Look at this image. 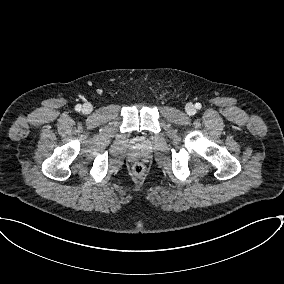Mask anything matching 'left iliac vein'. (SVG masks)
<instances>
[{
	"label": "left iliac vein",
	"mask_w": 284,
	"mask_h": 284,
	"mask_svg": "<svg viewBox=\"0 0 284 284\" xmlns=\"http://www.w3.org/2000/svg\"><path fill=\"white\" fill-rule=\"evenodd\" d=\"M186 112H187L189 115L195 114V112H196L195 107H194L192 104H187V105H186Z\"/></svg>",
	"instance_id": "left-iliac-vein-1"
}]
</instances>
